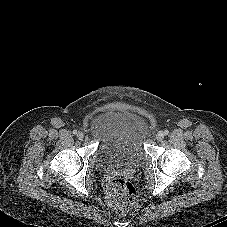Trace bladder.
<instances>
[{"instance_id": "obj_1", "label": "bladder", "mask_w": 227, "mask_h": 227, "mask_svg": "<svg viewBox=\"0 0 227 227\" xmlns=\"http://www.w3.org/2000/svg\"><path fill=\"white\" fill-rule=\"evenodd\" d=\"M144 116L131 109L108 108L96 113L88 129L98 140V159L103 170L139 164L144 157Z\"/></svg>"}]
</instances>
